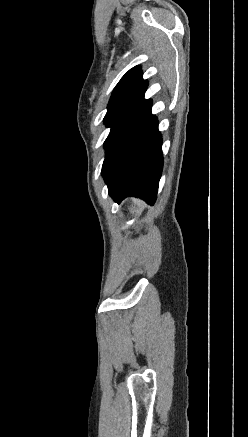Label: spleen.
I'll return each mask as SVG.
<instances>
[{
    "mask_svg": "<svg viewBox=\"0 0 248 437\" xmlns=\"http://www.w3.org/2000/svg\"><path fill=\"white\" fill-rule=\"evenodd\" d=\"M136 203H137L138 205H141V202H140V201H137Z\"/></svg>",
    "mask_w": 248,
    "mask_h": 437,
    "instance_id": "obj_1",
    "label": "spleen"
}]
</instances>
